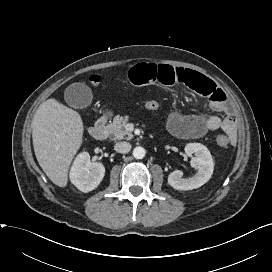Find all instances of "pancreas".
Segmentation results:
<instances>
[{
    "label": "pancreas",
    "mask_w": 272,
    "mask_h": 272,
    "mask_svg": "<svg viewBox=\"0 0 272 272\" xmlns=\"http://www.w3.org/2000/svg\"><path fill=\"white\" fill-rule=\"evenodd\" d=\"M128 121V116H115L113 122L106 126L112 140H130L133 138V134L125 129Z\"/></svg>",
    "instance_id": "obj_1"
}]
</instances>
